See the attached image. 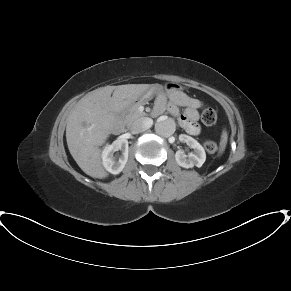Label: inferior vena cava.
<instances>
[{
  "label": "inferior vena cava",
  "mask_w": 291,
  "mask_h": 291,
  "mask_svg": "<svg viewBox=\"0 0 291 291\" xmlns=\"http://www.w3.org/2000/svg\"><path fill=\"white\" fill-rule=\"evenodd\" d=\"M152 124H153V120L151 118H147V117L138 118L132 122L130 126V130L134 134L140 133L150 128Z\"/></svg>",
  "instance_id": "inferior-vena-cava-1"
}]
</instances>
